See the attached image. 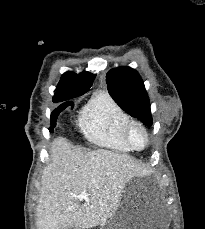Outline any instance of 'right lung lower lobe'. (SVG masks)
I'll return each instance as SVG.
<instances>
[{
  "label": "right lung lower lobe",
  "instance_id": "obj_1",
  "mask_svg": "<svg viewBox=\"0 0 205 229\" xmlns=\"http://www.w3.org/2000/svg\"><path fill=\"white\" fill-rule=\"evenodd\" d=\"M71 106L73 108V102L69 101L61 104L57 109H55L51 114V127L49 128L50 132H53V128L56 126V120L60 112H62L66 107Z\"/></svg>",
  "mask_w": 205,
  "mask_h": 229
}]
</instances>
